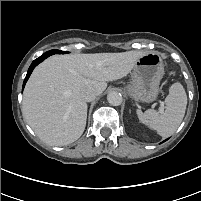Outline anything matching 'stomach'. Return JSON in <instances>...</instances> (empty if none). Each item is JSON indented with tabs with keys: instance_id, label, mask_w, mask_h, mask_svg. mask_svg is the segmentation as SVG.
Segmentation results:
<instances>
[{
	"instance_id": "1",
	"label": "stomach",
	"mask_w": 201,
	"mask_h": 201,
	"mask_svg": "<svg viewBox=\"0 0 201 201\" xmlns=\"http://www.w3.org/2000/svg\"><path fill=\"white\" fill-rule=\"evenodd\" d=\"M164 74L162 58L157 52L144 53L132 68V81L126 91L136 101L150 103L159 92V84Z\"/></svg>"
}]
</instances>
